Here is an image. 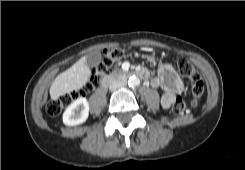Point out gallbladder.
<instances>
[{
	"label": "gallbladder",
	"instance_id": "bac80fb5",
	"mask_svg": "<svg viewBox=\"0 0 245 170\" xmlns=\"http://www.w3.org/2000/svg\"><path fill=\"white\" fill-rule=\"evenodd\" d=\"M101 61V53L98 51H93L86 56V64L89 67L97 66Z\"/></svg>",
	"mask_w": 245,
	"mask_h": 170
}]
</instances>
